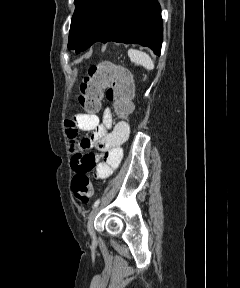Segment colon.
Returning <instances> with one entry per match:
<instances>
[{"instance_id":"colon-1","label":"colon","mask_w":240,"mask_h":288,"mask_svg":"<svg viewBox=\"0 0 240 288\" xmlns=\"http://www.w3.org/2000/svg\"><path fill=\"white\" fill-rule=\"evenodd\" d=\"M105 88L107 99L113 102L118 116L125 117L132 112L133 84L129 71L111 63H101L91 66L80 84L78 102L87 114L99 112ZM71 186L79 201L89 202L93 188L86 174H76Z\"/></svg>"}]
</instances>
